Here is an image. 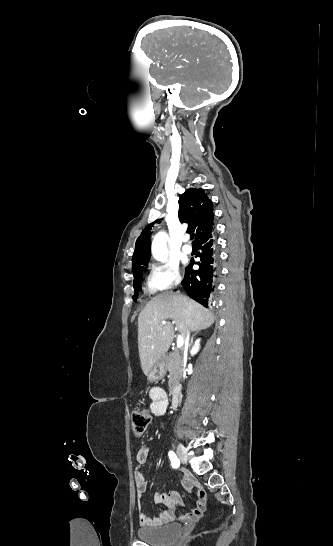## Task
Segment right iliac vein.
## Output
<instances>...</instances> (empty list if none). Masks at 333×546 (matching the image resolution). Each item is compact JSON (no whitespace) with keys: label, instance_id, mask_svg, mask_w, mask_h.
Returning a JSON list of instances; mask_svg holds the SVG:
<instances>
[{"label":"right iliac vein","instance_id":"right-iliac-vein-1","mask_svg":"<svg viewBox=\"0 0 333 546\" xmlns=\"http://www.w3.org/2000/svg\"><path fill=\"white\" fill-rule=\"evenodd\" d=\"M177 454H178V457L180 458V460L183 463H186V461H187V450L181 443H179L177 445Z\"/></svg>","mask_w":333,"mask_h":546}]
</instances>
